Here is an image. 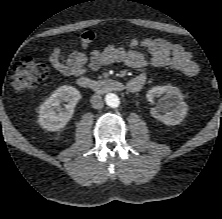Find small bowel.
Here are the masks:
<instances>
[{"label": "small bowel", "instance_id": "c3829d8e", "mask_svg": "<svg viewBox=\"0 0 222 219\" xmlns=\"http://www.w3.org/2000/svg\"><path fill=\"white\" fill-rule=\"evenodd\" d=\"M95 40V33L87 31L81 35L77 50L65 52L60 46L54 47L49 55L52 67L59 73L71 77H81L113 63H123L134 69L169 66L190 77L196 76L199 72V67L191 54L182 46L166 39L128 38L121 45H108L87 56L82 50L90 47ZM131 81L144 84L146 77L139 74Z\"/></svg>", "mask_w": 222, "mask_h": 219}]
</instances>
